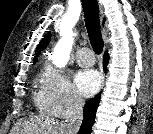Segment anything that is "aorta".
Wrapping results in <instances>:
<instances>
[{
  "label": "aorta",
  "mask_w": 153,
  "mask_h": 134,
  "mask_svg": "<svg viewBox=\"0 0 153 134\" xmlns=\"http://www.w3.org/2000/svg\"><path fill=\"white\" fill-rule=\"evenodd\" d=\"M73 36V32L64 34L55 46L53 54V63L57 67H64L67 64L73 46Z\"/></svg>",
  "instance_id": "762f6f07"
}]
</instances>
